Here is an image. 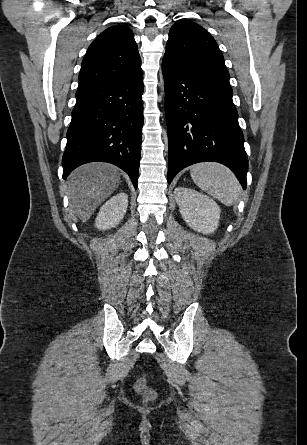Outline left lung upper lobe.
Instances as JSON below:
<instances>
[{"label":"left lung upper lobe","mask_w":307,"mask_h":445,"mask_svg":"<svg viewBox=\"0 0 307 445\" xmlns=\"http://www.w3.org/2000/svg\"><path fill=\"white\" fill-rule=\"evenodd\" d=\"M163 61L207 88L232 95L229 73L216 41L194 22L180 20L171 27Z\"/></svg>","instance_id":"5c2ea615"}]
</instances>
